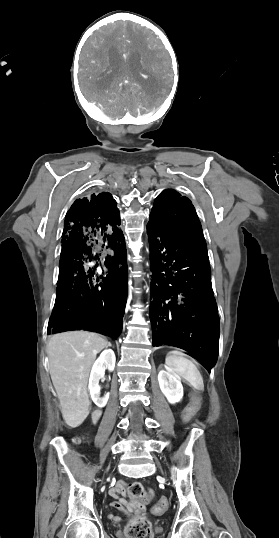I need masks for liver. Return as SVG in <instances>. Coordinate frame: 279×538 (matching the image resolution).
<instances>
[{
	"label": "liver",
	"instance_id": "obj_1",
	"mask_svg": "<svg viewBox=\"0 0 279 538\" xmlns=\"http://www.w3.org/2000/svg\"><path fill=\"white\" fill-rule=\"evenodd\" d=\"M109 342L93 332L54 334L47 346L49 372L57 392L63 420L78 428L89 414L87 384L97 354Z\"/></svg>",
	"mask_w": 279,
	"mask_h": 538
}]
</instances>
